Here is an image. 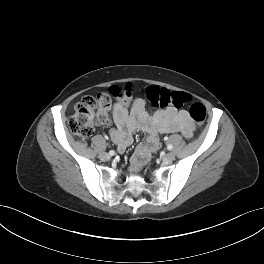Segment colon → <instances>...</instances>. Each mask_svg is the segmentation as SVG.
<instances>
[{
    "label": "colon",
    "mask_w": 264,
    "mask_h": 264,
    "mask_svg": "<svg viewBox=\"0 0 264 264\" xmlns=\"http://www.w3.org/2000/svg\"><path fill=\"white\" fill-rule=\"evenodd\" d=\"M143 93L154 107L179 109L190 102V96L187 93L170 91L156 85L147 86ZM131 94L132 89L129 85H117L111 88L110 94L100 92L82 97L68 121L70 131L80 139L89 138L97 127L108 122L112 104L111 96L119 101H126ZM189 114L198 126H202L206 118V108L202 103H192Z\"/></svg>",
    "instance_id": "5ec220e1"
}]
</instances>
